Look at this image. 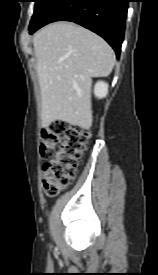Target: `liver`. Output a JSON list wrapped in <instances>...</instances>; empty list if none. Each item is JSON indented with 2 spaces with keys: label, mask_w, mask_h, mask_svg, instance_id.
Returning a JSON list of instances; mask_svg holds the SVG:
<instances>
[{
  "label": "liver",
  "mask_w": 158,
  "mask_h": 275,
  "mask_svg": "<svg viewBox=\"0 0 158 275\" xmlns=\"http://www.w3.org/2000/svg\"><path fill=\"white\" fill-rule=\"evenodd\" d=\"M41 91L42 126L61 120L82 129L92 126V77L108 76L116 62L112 48L81 26L57 22L33 37Z\"/></svg>",
  "instance_id": "obj_1"
}]
</instances>
